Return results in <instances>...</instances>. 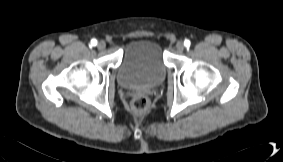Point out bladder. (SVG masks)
Instances as JSON below:
<instances>
[{"mask_svg":"<svg viewBox=\"0 0 283 162\" xmlns=\"http://www.w3.org/2000/svg\"><path fill=\"white\" fill-rule=\"evenodd\" d=\"M167 72L161 46L149 38L129 42L117 71V82L125 88L152 87L161 83Z\"/></svg>","mask_w":283,"mask_h":162,"instance_id":"31cf9c89","label":"bladder"}]
</instances>
